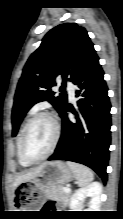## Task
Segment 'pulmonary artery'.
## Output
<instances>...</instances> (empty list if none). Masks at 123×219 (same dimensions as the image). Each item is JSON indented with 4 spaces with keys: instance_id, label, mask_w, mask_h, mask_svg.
Here are the masks:
<instances>
[{
    "instance_id": "pulmonary-artery-1",
    "label": "pulmonary artery",
    "mask_w": 123,
    "mask_h": 219,
    "mask_svg": "<svg viewBox=\"0 0 123 219\" xmlns=\"http://www.w3.org/2000/svg\"><path fill=\"white\" fill-rule=\"evenodd\" d=\"M67 90H68L69 98L74 99L75 98V86L71 82L67 83Z\"/></svg>"
}]
</instances>
